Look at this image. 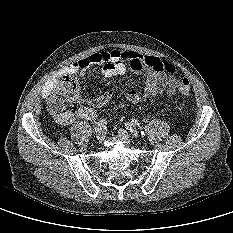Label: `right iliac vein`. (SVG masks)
Listing matches in <instances>:
<instances>
[{
	"mask_svg": "<svg viewBox=\"0 0 233 233\" xmlns=\"http://www.w3.org/2000/svg\"><path fill=\"white\" fill-rule=\"evenodd\" d=\"M96 138H97V140L98 141H103V139H104V132L102 131V130H99L98 132H97V134H96Z\"/></svg>",
	"mask_w": 233,
	"mask_h": 233,
	"instance_id": "63e3f726",
	"label": "right iliac vein"
}]
</instances>
